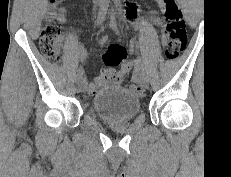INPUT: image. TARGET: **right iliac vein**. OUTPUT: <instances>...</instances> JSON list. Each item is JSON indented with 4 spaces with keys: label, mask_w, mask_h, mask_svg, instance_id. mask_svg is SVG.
<instances>
[{
    "label": "right iliac vein",
    "mask_w": 231,
    "mask_h": 177,
    "mask_svg": "<svg viewBox=\"0 0 231 177\" xmlns=\"http://www.w3.org/2000/svg\"><path fill=\"white\" fill-rule=\"evenodd\" d=\"M85 89V79L84 78H81L78 80L77 82V91L78 92H81Z\"/></svg>",
    "instance_id": "63e3f726"
}]
</instances>
